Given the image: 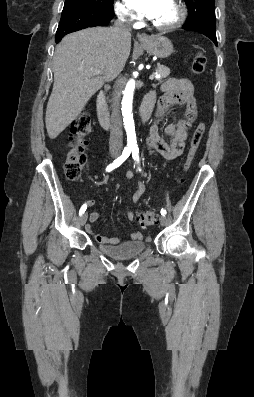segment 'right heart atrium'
Returning a JSON list of instances; mask_svg holds the SVG:
<instances>
[{"label":"right heart atrium","mask_w":254,"mask_h":397,"mask_svg":"<svg viewBox=\"0 0 254 397\" xmlns=\"http://www.w3.org/2000/svg\"><path fill=\"white\" fill-rule=\"evenodd\" d=\"M115 12L121 21L127 23L136 22L139 18L125 4L118 1L115 3Z\"/></svg>","instance_id":"right-heart-atrium-1"}]
</instances>
